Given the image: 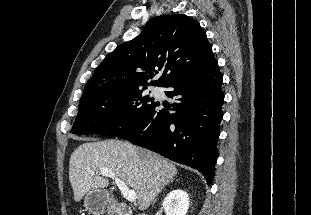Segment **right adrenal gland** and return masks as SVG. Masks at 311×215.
<instances>
[{
	"instance_id": "right-adrenal-gland-1",
	"label": "right adrenal gland",
	"mask_w": 311,
	"mask_h": 215,
	"mask_svg": "<svg viewBox=\"0 0 311 215\" xmlns=\"http://www.w3.org/2000/svg\"><path fill=\"white\" fill-rule=\"evenodd\" d=\"M170 182H173V180H171ZM168 184H169V183H168ZM155 201H156V200H155ZM155 201H154V202H155Z\"/></svg>"
}]
</instances>
